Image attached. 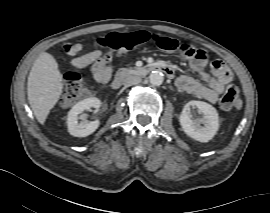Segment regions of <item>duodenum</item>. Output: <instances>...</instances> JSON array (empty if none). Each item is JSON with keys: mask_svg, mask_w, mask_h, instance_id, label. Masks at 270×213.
<instances>
[{"mask_svg": "<svg viewBox=\"0 0 270 213\" xmlns=\"http://www.w3.org/2000/svg\"><path fill=\"white\" fill-rule=\"evenodd\" d=\"M152 71H159L163 73L164 75H166L168 78L174 77V73L170 70L169 66L163 62L144 66L140 68L138 73L144 75V74L151 73ZM128 75H129V72L127 70H121L111 82V88L117 89L120 86L122 79H124Z\"/></svg>", "mask_w": 270, "mask_h": 213, "instance_id": "410a0bca", "label": "duodenum"}]
</instances>
